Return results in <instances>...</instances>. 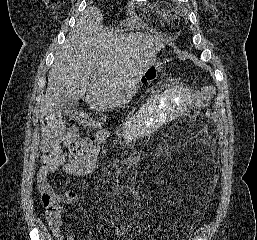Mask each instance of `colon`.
<instances>
[{"mask_svg":"<svg viewBox=\"0 0 257 240\" xmlns=\"http://www.w3.org/2000/svg\"><path fill=\"white\" fill-rule=\"evenodd\" d=\"M167 62H168V59H164L162 61L155 63L153 66L149 67L146 73L143 75L141 82L147 83L155 80L158 74L163 70ZM214 93H215V89L213 86H210V85L203 87V89L201 90V95L204 100L211 98ZM42 204L52 219L56 220L59 217L60 205H59L58 199L54 195H51V194L42 195Z\"/></svg>","mask_w":257,"mask_h":240,"instance_id":"1","label":"colon"}]
</instances>
